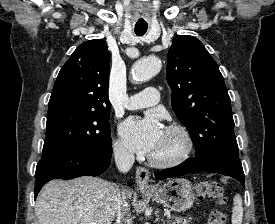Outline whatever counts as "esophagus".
Masks as SVG:
<instances>
[{
    "mask_svg": "<svg viewBox=\"0 0 275 224\" xmlns=\"http://www.w3.org/2000/svg\"><path fill=\"white\" fill-rule=\"evenodd\" d=\"M136 182L140 188H150L149 185V171L144 167H137Z\"/></svg>",
    "mask_w": 275,
    "mask_h": 224,
    "instance_id": "1",
    "label": "esophagus"
}]
</instances>
